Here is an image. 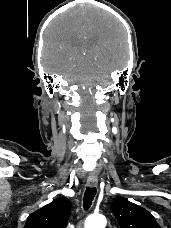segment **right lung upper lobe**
<instances>
[{
  "label": "right lung upper lobe",
  "instance_id": "right-lung-upper-lobe-1",
  "mask_svg": "<svg viewBox=\"0 0 171 228\" xmlns=\"http://www.w3.org/2000/svg\"><path fill=\"white\" fill-rule=\"evenodd\" d=\"M70 211V201L63 197L57 198L33 212L27 218L24 228H65Z\"/></svg>",
  "mask_w": 171,
  "mask_h": 228
}]
</instances>
